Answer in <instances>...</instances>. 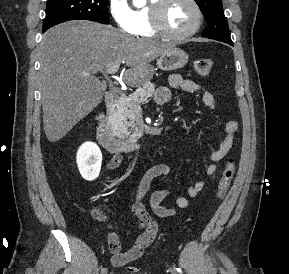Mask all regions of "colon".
Wrapping results in <instances>:
<instances>
[{
	"instance_id": "1",
	"label": "colon",
	"mask_w": 289,
	"mask_h": 274,
	"mask_svg": "<svg viewBox=\"0 0 289 274\" xmlns=\"http://www.w3.org/2000/svg\"><path fill=\"white\" fill-rule=\"evenodd\" d=\"M213 62L210 58H199L194 62V69L200 76H208L211 73ZM235 174V163L232 158L228 159L225 167L222 171L220 180L217 186V197L222 198L228 191ZM95 217L103 219L104 216L100 211L95 212ZM127 270L130 272H137L139 268L137 266H128Z\"/></svg>"
}]
</instances>
